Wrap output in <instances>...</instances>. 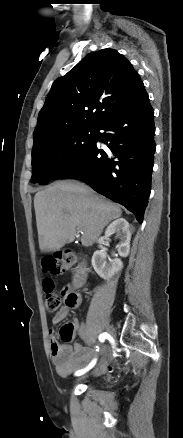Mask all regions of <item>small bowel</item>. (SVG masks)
<instances>
[{
	"label": "small bowel",
	"instance_id": "c3829d8e",
	"mask_svg": "<svg viewBox=\"0 0 183 438\" xmlns=\"http://www.w3.org/2000/svg\"><path fill=\"white\" fill-rule=\"evenodd\" d=\"M82 285L83 284L79 287H82ZM80 303V296L75 304L70 305L66 303L53 317V323L58 324L63 321L67 317L69 309L79 307ZM71 324L81 337H86L84 326L79 320L75 319ZM50 352L56 372L61 377H67L75 370L83 367L94 355L93 350L87 349L79 343H75L74 345L60 343L53 333L50 334ZM106 371L107 367L103 365L96 373L100 374Z\"/></svg>",
	"mask_w": 183,
	"mask_h": 438
}]
</instances>
